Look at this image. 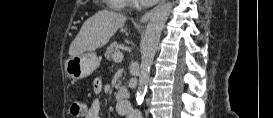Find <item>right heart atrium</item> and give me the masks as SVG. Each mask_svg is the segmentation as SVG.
<instances>
[{
	"label": "right heart atrium",
	"instance_id": "right-heart-atrium-1",
	"mask_svg": "<svg viewBox=\"0 0 273 118\" xmlns=\"http://www.w3.org/2000/svg\"><path fill=\"white\" fill-rule=\"evenodd\" d=\"M123 3H125L126 6L131 7L134 5V0H125Z\"/></svg>",
	"mask_w": 273,
	"mask_h": 118
}]
</instances>
